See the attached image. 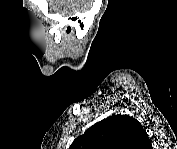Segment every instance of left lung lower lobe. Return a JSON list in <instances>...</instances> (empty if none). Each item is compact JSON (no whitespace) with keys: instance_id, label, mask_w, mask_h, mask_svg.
<instances>
[{"instance_id":"0a47b994","label":"left lung lower lobe","mask_w":177,"mask_h":149,"mask_svg":"<svg viewBox=\"0 0 177 149\" xmlns=\"http://www.w3.org/2000/svg\"><path fill=\"white\" fill-rule=\"evenodd\" d=\"M147 137H148V135H147ZM147 140H149V145H148L146 148H147V149H150V148H151V142H150L149 137L147 138Z\"/></svg>"}]
</instances>
